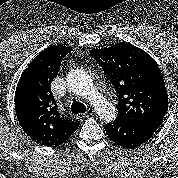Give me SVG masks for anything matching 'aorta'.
I'll use <instances>...</instances> for the list:
<instances>
[{"label":"aorta","mask_w":178,"mask_h":178,"mask_svg":"<svg viewBox=\"0 0 178 178\" xmlns=\"http://www.w3.org/2000/svg\"><path fill=\"white\" fill-rule=\"evenodd\" d=\"M69 89L78 96L90 97L97 114L106 122H111L116 118L117 111L113 104L104 97L99 96L90 76L83 70H73L67 76Z\"/></svg>","instance_id":"aorta-1"}]
</instances>
